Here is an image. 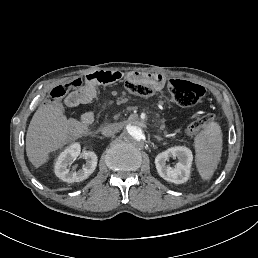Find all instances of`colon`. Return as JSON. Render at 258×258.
I'll return each mask as SVG.
<instances>
[{"label":"colon","mask_w":258,"mask_h":258,"mask_svg":"<svg viewBox=\"0 0 258 258\" xmlns=\"http://www.w3.org/2000/svg\"><path fill=\"white\" fill-rule=\"evenodd\" d=\"M83 81L80 78L74 79L69 83L58 85L50 92L49 100L55 102L65 97L67 92L72 89L82 87ZM168 90L173 100L181 106H193L198 103L205 95L204 87L182 79H169L167 82ZM127 90L137 96L150 97L156 93L155 85L145 83L140 80H128L126 82ZM211 114L196 118L188 126V133L191 135L197 134L211 120Z\"/></svg>","instance_id":"5ec220e1"}]
</instances>
